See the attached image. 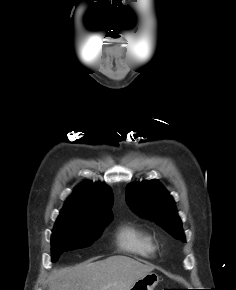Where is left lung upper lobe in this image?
I'll list each match as a JSON object with an SVG mask.
<instances>
[{
    "instance_id": "5c2ea615",
    "label": "left lung upper lobe",
    "mask_w": 236,
    "mask_h": 290,
    "mask_svg": "<svg viewBox=\"0 0 236 290\" xmlns=\"http://www.w3.org/2000/svg\"><path fill=\"white\" fill-rule=\"evenodd\" d=\"M125 195L135 213L155 221L172 236L185 242L175 202L157 180L133 183L127 187Z\"/></svg>"
}]
</instances>
